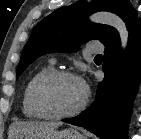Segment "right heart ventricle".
Instances as JSON below:
<instances>
[{
  "mask_svg": "<svg viewBox=\"0 0 141 139\" xmlns=\"http://www.w3.org/2000/svg\"><path fill=\"white\" fill-rule=\"evenodd\" d=\"M53 68L51 65H45L39 68L26 82L22 94V112L23 114L32 119H41L44 116L37 110L33 102V88L36 82L44 76L46 73L52 71Z\"/></svg>",
  "mask_w": 141,
  "mask_h": 139,
  "instance_id": "obj_1",
  "label": "right heart ventricle"
}]
</instances>
